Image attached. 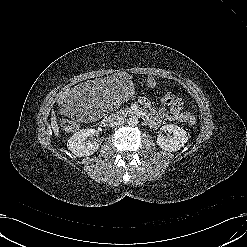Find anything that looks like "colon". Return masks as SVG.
I'll return each instance as SVG.
<instances>
[{"label": "colon", "mask_w": 247, "mask_h": 247, "mask_svg": "<svg viewBox=\"0 0 247 247\" xmlns=\"http://www.w3.org/2000/svg\"><path fill=\"white\" fill-rule=\"evenodd\" d=\"M173 94L171 92H166L164 96H161L159 98V103L163 106H169L171 104V100L173 99ZM186 122L193 126L196 124V118L194 115L190 114L188 115ZM61 126L66 131H74L78 129L79 124L76 120L71 119L69 117H63L61 120Z\"/></svg>", "instance_id": "obj_1"}]
</instances>
